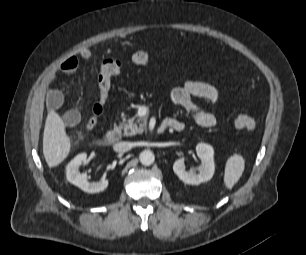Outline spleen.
Here are the masks:
<instances>
[{"label":"spleen","mask_w":306,"mask_h":255,"mask_svg":"<svg viewBox=\"0 0 306 255\" xmlns=\"http://www.w3.org/2000/svg\"><path fill=\"white\" fill-rule=\"evenodd\" d=\"M244 158L241 155H232L228 158L225 166L224 184L232 189L244 171Z\"/></svg>","instance_id":"1"}]
</instances>
